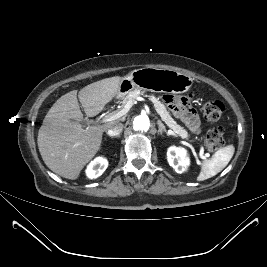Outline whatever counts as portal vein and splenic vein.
<instances>
[{"mask_svg":"<svg viewBox=\"0 0 267 267\" xmlns=\"http://www.w3.org/2000/svg\"><path fill=\"white\" fill-rule=\"evenodd\" d=\"M136 100L138 101H144V98L142 97H137ZM136 101L132 102V101H129L125 107L123 109H121L120 111H117V112H113L109 115H106L102 122L103 123H106V122H111V121H114V120H117L119 118H121L122 116H124L128 111L129 109L132 107V105L135 103Z\"/></svg>","mask_w":267,"mask_h":267,"instance_id":"portal-vein-and-splenic-vein-1","label":"portal vein and splenic vein"}]
</instances>
